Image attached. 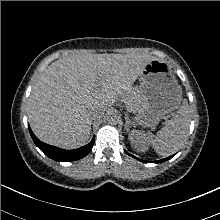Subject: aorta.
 I'll list each match as a JSON object with an SVG mask.
<instances>
[{"label":"aorta","instance_id":"1","mask_svg":"<svg viewBox=\"0 0 220 220\" xmlns=\"http://www.w3.org/2000/svg\"><path fill=\"white\" fill-rule=\"evenodd\" d=\"M118 120V114L114 111L110 112L108 115H107V121L109 123H116Z\"/></svg>","mask_w":220,"mask_h":220}]
</instances>
